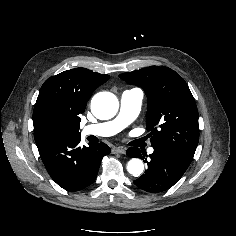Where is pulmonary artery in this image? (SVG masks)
<instances>
[{"instance_id": "e3ab8cb5", "label": "pulmonary artery", "mask_w": 236, "mask_h": 236, "mask_svg": "<svg viewBox=\"0 0 236 236\" xmlns=\"http://www.w3.org/2000/svg\"><path fill=\"white\" fill-rule=\"evenodd\" d=\"M143 97L144 93L139 88L125 90L120 97L118 115L110 121L85 126L82 129V134L106 137L119 133L136 119L141 109ZM148 152L151 154L154 149L151 147Z\"/></svg>"}]
</instances>
